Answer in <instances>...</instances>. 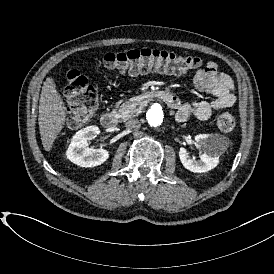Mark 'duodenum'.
<instances>
[{"instance_id":"duodenum-1","label":"duodenum","mask_w":274,"mask_h":274,"mask_svg":"<svg viewBox=\"0 0 274 274\" xmlns=\"http://www.w3.org/2000/svg\"><path fill=\"white\" fill-rule=\"evenodd\" d=\"M141 98L143 100L158 98L164 101L171 109H177L180 105L179 98L175 94L161 89L145 92ZM101 124L107 130H114L118 127L119 116L113 112H106L101 116Z\"/></svg>"}]
</instances>
